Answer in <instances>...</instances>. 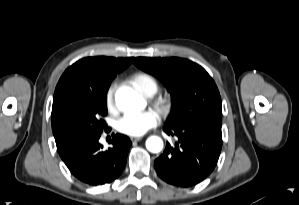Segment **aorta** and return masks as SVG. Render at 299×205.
<instances>
[{
  "label": "aorta",
  "instance_id": "aorta-1",
  "mask_svg": "<svg viewBox=\"0 0 299 205\" xmlns=\"http://www.w3.org/2000/svg\"><path fill=\"white\" fill-rule=\"evenodd\" d=\"M115 102L123 111H136L145 107L144 99L130 87H121L115 93ZM146 148L152 153L163 149V141L158 136H151L146 140Z\"/></svg>",
  "mask_w": 299,
  "mask_h": 205
}]
</instances>
